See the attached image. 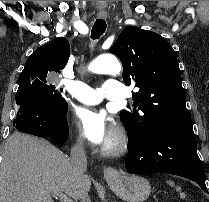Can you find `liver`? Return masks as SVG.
<instances>
[{"mask_svg":"<svg viewBox=\"0 0 209 202\" xmlns=\"http://www.w3.org/2000/svg\"><path fill=\"white\" fill-rule=\"evenodd\" d=\"M91 188L89 176L78 177L64 153L44 139L14 132L0 164V202H53L58 190L74 200Z\"/></svg>","mask_w":209,"mask_h":202,"instance_id":"obj_1","label":"liver"}]
</instances>
